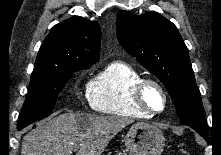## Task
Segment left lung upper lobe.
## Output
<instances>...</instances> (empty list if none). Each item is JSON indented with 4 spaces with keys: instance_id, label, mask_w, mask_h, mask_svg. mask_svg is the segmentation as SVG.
<instances>
[{
    "instance_id": "1",
    "label": "left lung upper lobe",
    "mask_w": 221,
    "mask_h": 155,
    "mask_svg": "<svg viewBox=\"0 0 221 155\" xmlns=\"http://www.w3.org/2000/svg\"><path fill=\"white\" fill-rule=\"evenodd\" d=\"M117 36L123 48L165 85L180 122L204 127L203 105L189 53L176 26L157 14L120 11Z\"/></svg>"
}]
</instances>
